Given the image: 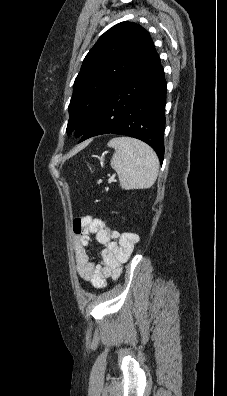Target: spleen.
Instances as JSON below:
<instances>
[{"mask_svg": "<svg viewBox=\"0 0 227 396\" xmlns=\"http://www.w3.org/2000/svg\"><path fill=\"white\" fill-rule=\"evenodd\" d=\"M108 147L115 149L111 167L117 172L125 190L150 188L157 179L159 160L144 142L130 137H116Z\"/></svg>", "mask_w": 227, "mask_h": 396, "instance_id": "3e777b00", "label": "spleen"}]
</instances>
